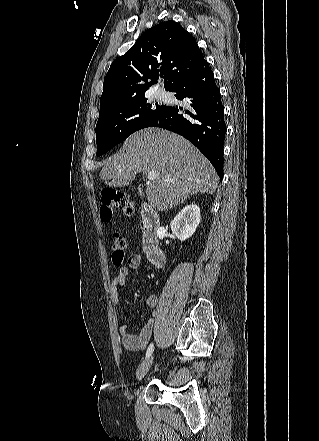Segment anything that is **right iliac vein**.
Segmentation results:
<instances>
[{
    "mask_svg": "<svg viewBox=\"0 0 319 441\" xmlns=\"http://www.w3.org/2000/svg\"><path fill=\"white\" fill-rule=\"evenodd\" d=\"M153 362V357L147 358L144 362L141 363V365L138 367L136 372V377L140 381L144 378V376L149 371L151 365Z\"/></svg>",
    "mask_w": 319,
    "mask_h": 441,
    "instance_id": "right-iliac-vein-1",
    "label": "right iliac vein"
}]
</instances>
